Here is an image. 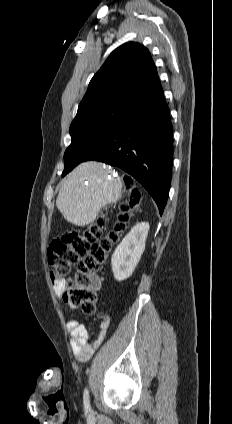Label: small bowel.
<instances>
[{"label": "small bowel", "mask_w": 232, "mask_h": 424, "mask_svg": "<svg viewBox=\"0 0 232 424\" xmlns=\"http://www.w3.org/2000/svg\"><path fill=\"white\" fill-rule=\"evenodd\" d=\"M99 288L100 281L97 279L96 289L98 290ZM55 290L62 296L67 295V289L60 283H55ZM109 323V317L104 315L100 323L99 332L97 333L96 337L90 341L88 330L83 324L75 319L69 320L67 322L66 326L71 336L70 346L74 355L79 361L88 360L91 357L94 349L100 346V344L105 339Z\"/></svg>", "instance_id": "c3829d8e"}]
</instances>
